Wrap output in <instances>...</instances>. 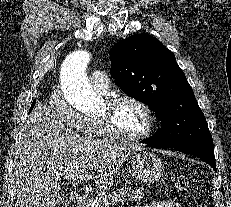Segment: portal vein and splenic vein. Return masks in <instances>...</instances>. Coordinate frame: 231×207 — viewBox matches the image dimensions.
I'll return each mask as SVG.
<instances>
[{"instance_id": "18ae733b", "label": "portal vein and splenic vein", "mask_w": 231, "mask_h": 207, "mask_svg": "<svg viewBox=\"0 0 231 207\" xmlns=\"http://www.w3.org/2000/svg\"><path fill=\"white\" fill-rule=\"evenodd\" d=\"M85 179H86V177L82 178V180H85Z\"/></svg>"}]
</instances>
